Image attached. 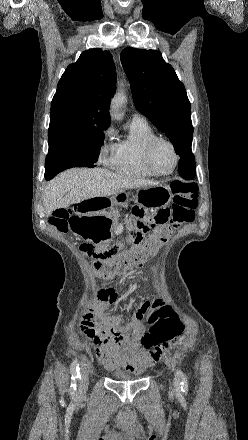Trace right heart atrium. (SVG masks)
<instances>
[{"mask_svg":"<svg viewBox=\"0 0 248 440\" xmlns=\"http://www.w3.org/2000/svg\"><path fill=\"white\" fill-rule=\"evenodd\" d=\"M112 137L113 130L107 128L104 131V139L99 151L100 160L107 166H113L114 163L116 144L110 142Z\"/></svg>","mask_w":248,"mask_h":440,"instance_id":"right-heart-atrium-1","label":"right heart atrium"}]
</instances>
